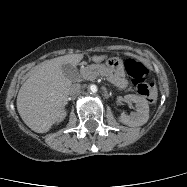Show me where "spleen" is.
<instances>
[{
  "mask_svg": "<svg viewBox=\"0 0 187 187\" xmlns=\"http://www.w3.org/2000/svg\"><path fill=\"white\" fill-rule=\"evenodd\" d=\"M154 94H155V96L157 95V89L156 88L154 89Z\"/></svg>",
  "mask_w": 187,
  "mask_h": 187,
  "instance_id": "obj_1",
  "label": "spleen"
}]
</instances>
